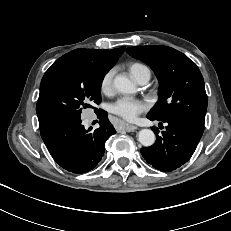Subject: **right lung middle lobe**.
I'll use <instances>...</instances> for the list:
<instances>
[{
  "label": "right lung middle lobe",
  "instance_id": "dd1d6c3e",
  "mask_svg": "<svg viewBox=\"0 0 231 231\" xmlns=\"http://www.w3.org/2000/svg\"><path fill=\"white\" fill-rule=\"evenodd\" d=\"M109 70L80 54L63 55L44 74L36 108L51 123L79 119L83 108L101 102V84Z\"/></svg>",
  "mask_w": 231,
  "mask_h": 231
}]
</instances>
